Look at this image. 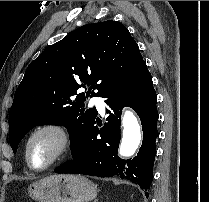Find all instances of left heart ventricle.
Returning a JSON list of instances; mask_svg holds the SVG:
<instances>
[{
    "mask_svg": "<svg viewBox=\"0 0 209 202\" xmlns=\"http://www.w3.org/2000/svg\"><path fill=\"white\" fill-rule=\"evenodd\" d=\"M56 141L53 135L43 133L37 136L30 145V155L35 166L40 167L48 162L50 159Z\"/></svg>",
    "mask_w": 209,
    "mask_h": 202,
    "instance_id": "b2bd125f",
    "label": "left heart ventricle"
}]
</instances>
